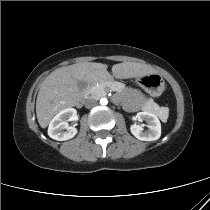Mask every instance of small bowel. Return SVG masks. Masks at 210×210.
<instances>
[{
  "label": "small bowel",
  "instance_id": "obj_1",
  "mask_svg": "<svg viewBox=\"0 0 210 210\" xmlns=\"http://www.w3.org/2000/svg\"><path fill=\"white\" fill-rule=\"evenodd\" d=\"M116 100H117V101L121 100V97H116ZM126 106H127L128 108L131 107V106H130V103H129L128 101L126 102Z\"/></svg>",
  "mask_w": 210,
  "mask_h": 210
}]
</instances>
